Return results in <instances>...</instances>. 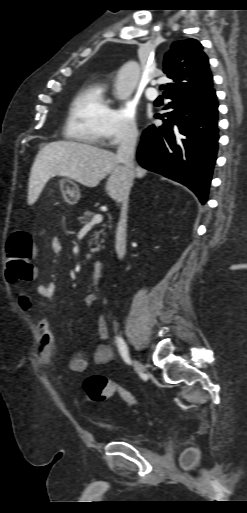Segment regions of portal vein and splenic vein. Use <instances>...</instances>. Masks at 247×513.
<instances>
[{"label":"portal vein and splenic vein","instance_id":"portal-vein-and-splenic-vein-1","mask_svg":"<svg viewBox=\"0 0 247 513\" xmlns=\"http://www.w3.org/2000/svg\"><path fill=\"white\" fill-rule=\"evenodd\" d=\"M103 220V215L102 214H96L93 216L92 220L90 222H88L85 226L89 227V226H93L95 224H98L100 222H102Z\"/></svg>","mask_w":247,"mask_h":513}]
</instances>
